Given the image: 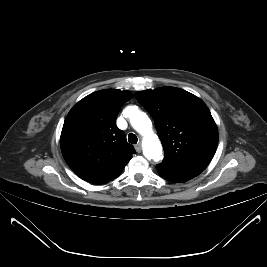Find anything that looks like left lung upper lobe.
<instances>
[{"mask_svg": "<svg viewBox=\"0 0 267 267\" xmlns=\"http://www.w3.org/2000/svg\"><path fill=\"white\" fill-rule=\"evenodd\" d=\"M135 97L155 122L165 152L161 164L199 175L218 144L217 126L205 103L175 87L140 91Z\"/></svg>", "mask_w": 267, "mask_h": 267, "instance_id": "5c2ea615", "label": "left lung upper lobe"}]
</instances>
